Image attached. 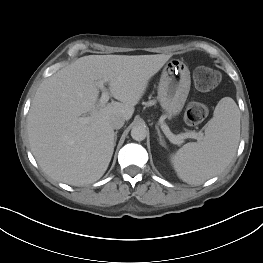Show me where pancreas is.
<instances>
[{
    "label": "pancreas",
    "mask_w": 263,
    "mask_h": 263,
    "mask_svg": "<svg viewBox=\"0 0 263 263\" xmlns=\"http://www.w3.org/2000/svg\"><path fill=\"white\" fill-rule=\"evenodd\" d=\"M180 143H182L181 141H179L177 144H180Z\"/></svg>",
    "instance_id": "obj_1"
}]
</instances>
